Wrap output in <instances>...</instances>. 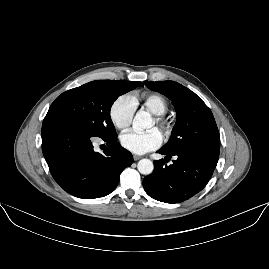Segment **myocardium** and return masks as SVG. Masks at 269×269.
<instances>
[{
    "label": "myocardium",
    "mask_w": 269,
    "mask_h": 269,
    "mask_svg": "<svg viewBox=\"0 0 269 269\" xmlns=\"http://www.w3.org/2000/svg\"><path fill=\"white\" fill-rule=\"evenodd\" d=\"M155 120L158 125V129L164 134L166 140H168L173 132V123L164 115L155 114Z\"/></svg>",
    "instance_id": "obj_1"
}]
</instances>
